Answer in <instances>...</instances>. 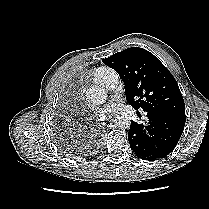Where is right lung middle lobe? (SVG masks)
<instances>
[{"mask_svg":"<svg viewBox=\"0 0 209 209\" xmlns=\"http://www.w3.org/2000/svg\"><path fill=\"white\" fill-rule=\"evenodd\" d=\"M61 149L68 154L70 157H76L79 156L81 152L78 151H73L72 148H70V146L66 145V144H60Z\"/></svg>","mask_w":209,"mask_h":209,"instance_id":"dd1d6c3e","label":"right lung middle lobe"}]
</instances>
